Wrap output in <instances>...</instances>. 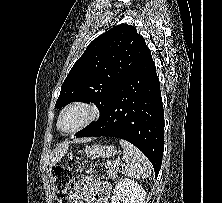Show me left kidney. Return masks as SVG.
<instances>
[{
  "label": "left kidney",
  "instance_id": "obj_1",
  "mask_svg": "<svg viewBox=\"0 0 222 203\" xmlns=\"http://www.w3.org/2000/svg\"><path fill=\"white\" fill-rule=\"evenodd\" d=\"M146 192L134 180H120L113 191L111 203H145Z\"/></svg>",
  "mask_w": 222,
  "mask_h": 203
}]
</instances>
